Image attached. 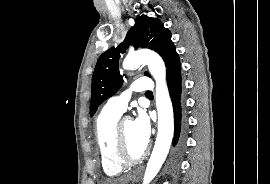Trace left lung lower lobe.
I'll use <instances>...</instances> for the list:
<instances>
[{"instance_id":"left-lung-lower-lobe-1","label":"left lung lower lobe","mask_w":270,"mask_h":184,"mask_svg":"<svg viewBox=\"0 0 270 184\" xmlns=\"http://www.w3.org/2000/svg\"><path fill=\"white\" fill-rule=\"evenodd\" d=\"M167 85L174 110L175 134L173 144L176 153L182 152L185 146L187 133V118L185 113V102L182 93L181 65L179 55L175 53L167 65Z\"/></svg>"}]
</instances>
